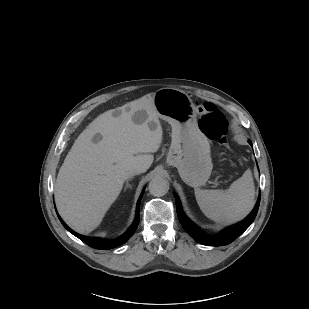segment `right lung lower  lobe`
Returning a JSON list of instances; mask_svg holds the SVG:
<instances>
[{"label": "right lung lower lobe", "mask_w": 309, "mask_h": 309, "mask_svg": "<svg viewBox=\"0 0 309 309\" xmlns=\"http://www.w3.org/2000/svg\"><path fill=\"white\" fill-rule=\"evenodd\" d=\"M143 194V193H142ZM142 194L140 196V198L138 199L137 202V208H136V217L135 220L133 222V224L131 225V227L119 238L115 239V240H105L102 238H92V237H86V236H82L80 234H77L76 232H74L73 230H71L61 219V217L58 215L59 220L61 221V223L63 224V226L69 231L71 232L73 235H75L76 237H78L80 240H82L84 243H86L87 245H89L90 247H93L95 249H112V248H116L120 245H122L123 243H125L135 232L138 224H139V206H140V200L142 198Z\"/></svg>", "instance_id": "1"}]
</instances>
